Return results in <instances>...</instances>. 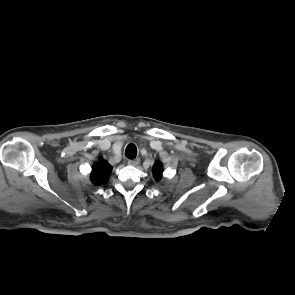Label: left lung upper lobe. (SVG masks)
<instances>
[{
    "mask_svg": "<svg viewBox=\"0 0 295 295\" xmlns=\"http://www.w3.org/2000/svg\"><path fill=\"white\" fill-rule=\"evenodd\" d=\"M153 176L156 181H159L162 178L163 173V164L160 161H156L153 165Z\"/></svg>",
    "mask_w": 295,
    "mask_h": 295,
    "instance_id": "obj_1",
    "label": "left lung upper lobe"
}]
</instances>
